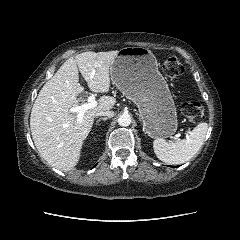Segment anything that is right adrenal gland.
Wrapping results in <instances>:
<instances>
[{
	"label": "right adrenal gland",
	"instance_id": "2a0ac1e0",
	"mask_svg": "<svg viewBox=\"0 0 240 240\" xmlns=\"http://www.w3.org/2000/svg\"><path fill=\"white\" fill-rule=\"evenodd\" d=\"M108 118L107 117H102V118H99L97 121H96V125H98V123L100 121H106Z\"/></svg>",
	"mask_w": 240,
	"mask_h": 240
}]
</instances>
